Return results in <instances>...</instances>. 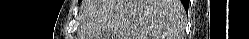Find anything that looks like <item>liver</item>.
<instances>
[{
    "instance_id": "6515ba94",
    "label": "liver",
    "mask_w": 249,
    "mask_h": 39,
    "mask_svg": "<svg viewBox=\"0 0 249 39\" xmlns=\"http://www.w3.org/2000/svg\"><path fill=\"white\" fill-rule=\"evenodd\" d=\"M180 0H85L80 39H175Z\"/></svg>"
}]
</instances>
